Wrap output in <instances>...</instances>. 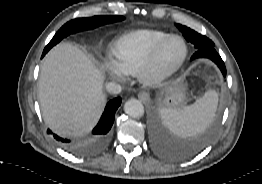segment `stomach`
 Masks as SVG:
<instances>
[{
  "instance_id": "stomach-1",
  "label": "stomach",
  "mask_w": 262,
  "mask_h": 184,
  "mask_svg": "<svg viewBox=\"0 0 262 184\" xmlns=\"http://www.w3.org/2000/svg\"><path fill=\"white\" fill-rule=\"evenodd\" d=\"M185 98V92L182 88L173 87L166 92L163 102L169 103L176 108L182 105V103L185 101Z\"/></svg>"
}]
</instances>
